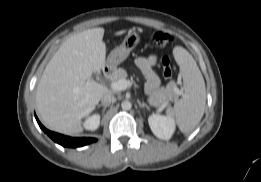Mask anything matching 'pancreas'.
Returning <instances> with one entry per match:
<instances>
[{
	"label": "pancreas",
	"instance_id": "pancreas-1",
	"mask_svg": "<svg viewBox=\"0 0 261 182\" xmlns=\"http://www.w3.org/2000/svg\"><path fill=\"white\" fill-rule=\"evenodd\" d=\"M127 78V72L123 68H118L113 71L110 76L112 82L118 81L120 79ZM177 93L171 88H161L157 93L150 96L148 101L151 105L154 106H165L168 104L169 101L176 100Z\"/></svg>",
	"mask_w": 261,
	"mask_h": 182
}]
</instances>
